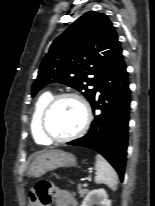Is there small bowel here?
Here are the masks:
<instances>
[{
    "instance_id": "c3829d8e",
    "label": "small bowel",
    "mask_w": 155,
    "mask_h": 206,
    "mask_svg": "<svg viewBox=\"0 0 155 206\" xmlns=\"http://www.w3.org/2000/svg\"><path fill=\"white\" fill-rule=\"evenodd\" d=\"M54 196H55L56 206H76L77 205L76 199L71 194V192H69L68 190L56 189ZM33 206H40V205L33 202Z\"/></svg>"
}]
</instances>
